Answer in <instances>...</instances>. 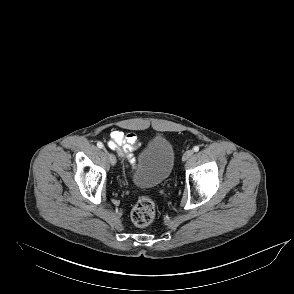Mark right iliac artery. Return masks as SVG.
Returning a JSON list of instances; mask_svg holds the SVG:
<instances>
[{
    "instance_id": "obj_1",
    "label": "right iliac artery",
    "mask_w": 294,
    "mask_h": 294,
    "mask_svg": "<svg viewBox=\"0 0 294 294\" xmlns=\"http://www.w3.org/2000/svg\"><path fill=\"white\" fill-rule=\"evenodd\" d=\"M97 146H98V148H100V149L104 148V145H103L102 142H98V143H97Z\"/></svg>"
}]
</instances>
